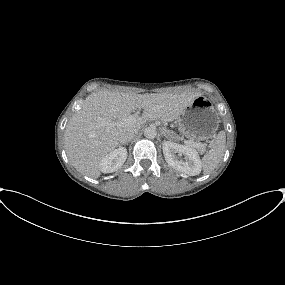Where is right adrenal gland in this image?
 Returning <instances> with one entry per match:
<instances>
[{
	"label": "right adrenal gland",
	"mask_w": 285,
	"mask_h": 285,
	"mask_svg": "<svg viewBox=\"0 0 285 285\" xmlns=\"http://www.w3.org/2000/svg\"><path fill=\"white\" fill-rule=\"evenodd\" d=\"M120 145H128V143H125V144L121 143Z\"/></svg>",
	"instance_id": "1"
}]
</instances>
